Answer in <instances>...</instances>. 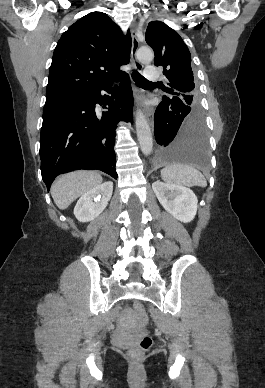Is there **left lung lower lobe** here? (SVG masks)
<instances>
[{
	"label": "left lung lower lobe",
	"mask_w": 265,
	"mask_h": 388,
	"mask_svg": "<svg viewBox=\"0 0 265 388\" xmlns=\"http://www.w3.org/2000/svg\"><path fill=\"white\" fill-rule=\"evenodd\" d=\"M154 119L156 160L204 167L208 163L207 131L200 109L181 100L162 98Z\"/></svg>",
	"instance_id": "left-lung-lower-lobe-1"
}]
</instances>
